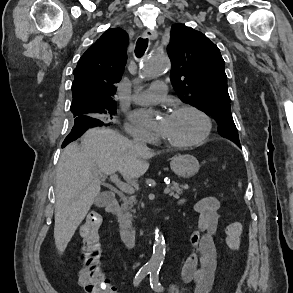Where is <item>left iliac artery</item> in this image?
Returning <instances> with one entry per match:
<instances>
[{
    "label": "left iliac artery",
    "mask_w": 293,
    "mask_h": 293,
    "mask_svg": "<svg viewBox=\"0 0 293 293\" xmlns=\"http://www.w3.org/2000/svg\"><path fill=\"white\" fill-rule=\"evenodd\" d=\"M150 285L156 292L163 291V286L159 281V269H152L150 272Z\"/></svg>",
    "instance_id": "44dca946"
}]
</instances>
